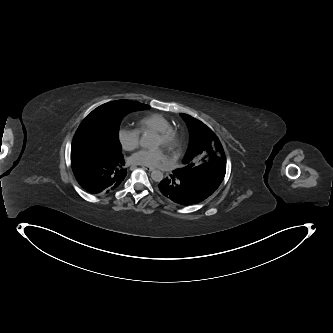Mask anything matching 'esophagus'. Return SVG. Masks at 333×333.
Returning <instances> with one entry per match:
<instances>
[{
	"label": "esophagus",
	"mask_w": 333,
	"mask_h": 333,
	"mask_svg": "<svg viewBox=\"0 0 333 333\" xmlns=\"http://www.w3.org/2000/svg\"><path fill=\"white\" fill-rule=\"evenodd\" d=\"M142 167H143V169H145L146 171H149V172L154 171V168H152V167H150V166H142Z\"/></svg>",
	"instance_id": "34e87169"
}]
</instances>
